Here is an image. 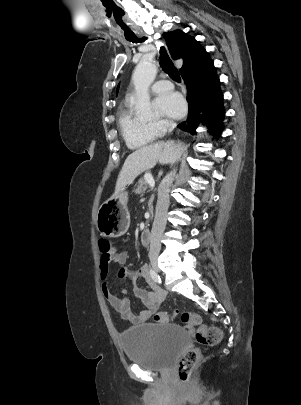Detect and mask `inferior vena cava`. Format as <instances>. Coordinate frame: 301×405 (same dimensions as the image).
Returning <instances> with one entry per match:
<instances>
[{
  "label": "inferior vena cava",
  "instance_id": "602c4592",
  "mask_svg": "<svg viewBox=\"0 0 301 405\" xmlns=\"http://www.w3.org/2000/svg\"><path fill=\"white\" fill-rule=\"evenodd\" d=\"M176 127V123L168 122L169 132ZM176 170L169 173L158 190L155 218L150 237V254H158L161 249V237L167 222V211L169 207V188L173 183Z\"/></svg>",
  "mask_w": 301,
  "mask_h": 405
}]
</instances>
